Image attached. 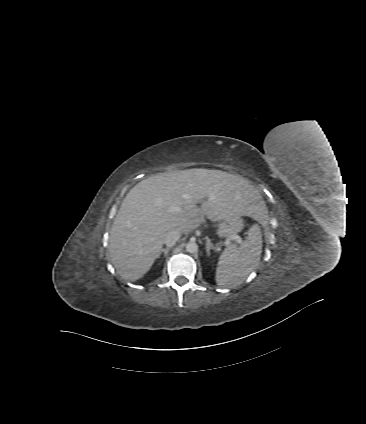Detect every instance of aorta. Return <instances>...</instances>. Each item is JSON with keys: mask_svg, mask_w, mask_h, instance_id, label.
Instances as JSON below:
<instances>
[{"mask_svg": "<svg viewBox=\"0 0 366 424\" xmlns=\"http://www.w3.org/2000/svg\"><path fill=\"white\" fill-rule=\"evenodd\" d=\"M198 250V245L194 241H190L186 244V251L189 253H196Z\"/></svg>", "mask_w": 366, "mask_h": 424, "instance_id": "762f6f07", "label": "aorta"}]
</instances>
